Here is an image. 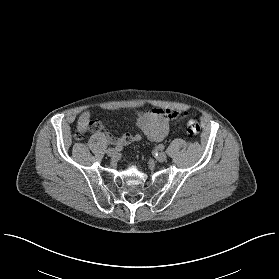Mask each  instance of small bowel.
Returning a JSON list of instances; mask_svg holds the SVG:
<instances>
[{"instance_id":"small-bowel-1","label":"small bowel","mask_w":279,"mask_h":279,"mask_svg":"<svg viewBox=\"0 0 279 279\" xmlns=\"http://www.w3.org/2000/svg\"><path fill=\"white\" fill-rule=\"evenodd\" d=\"M107 109L111 110V108ZM187 116H189V113L186 111L181 112L171 109H156L139 115L137 123L140 130L148 139L162 141L167 137L171 125ZM91 118L92 113L89 110L82 112L78 119V127H87L90 131L104 130V126L101 122L92 121ZM106 136L113 145L122 147L134 142H139L142 139L140 133L114 136L106 131Z\"/></svg>"}]
</instances>
